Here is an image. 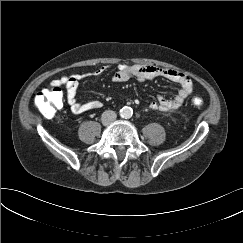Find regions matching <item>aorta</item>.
<instances>
[{
	"mask_svg": "<svg viewBox=\"0 0 243 243\" xmlns=\"http://www.w3.org/2000/svg\"><path fill=\"white\" fill-rule=\"evenodd\" d=\"M133 114V110L131 107L124 106L123 108L120 109V116L122 118H130Z\"/></svg>",
	"mask_w": 243,
	"mask_h": 243,
	"instance_id": "762f6f07",
	"label": "aorta"
}]
</instances>
